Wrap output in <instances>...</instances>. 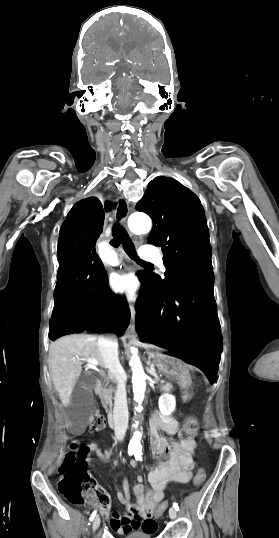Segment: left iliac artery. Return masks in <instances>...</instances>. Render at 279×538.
Wrapping results in <instances>:
<instances>
[{
	"label": "left iliac artery",
	"instance_id": "left-iliac-artery-1",
	"mask_svg": "<svg viewBox=\"0 0 279 538\" xmlns=\"http://www.w3.org/2000/svg\"><path fill=\"white\" fill-rule=\"evenodd\" d=\"M134 455L136 460L142 461V449H136ZM173 507L176 511L179 510V506L176 502L173 503Z\"/></svg>",
	"mask_w": 279,
	"mask_h": 538
}]
</instances>
